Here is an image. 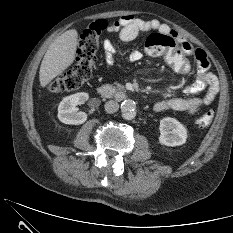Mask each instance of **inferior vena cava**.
I'll list each match as a JSON object with an SVG mask.
<instances>
[{
  "instance_id": "1",
  "label": "inferior vena cava",
  "mask_w": 233,
  "mask_h": 233,
  "mask_svg": "<svg viewBox=\"0 0 233 233\" xmlns=\"http://www.w3.org/2000/svg\"><path fill=\"white\" fill-rule=\"evenodd\" d=\"M118 109H119V104L114 100H110L105 103V111L109 114L117 112Z\"/></svg>"
}]
</instances>
